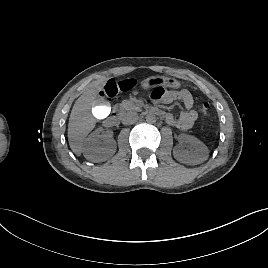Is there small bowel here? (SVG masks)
Here are the masks:
<instances>
[{"mask_svg": "<svg viewBox=\"0 0 268 268\" xmlns=\"http://www.w3.org/2000/svg\"><path fill=\"white\" fill-rule=\"evenodd\" d=\"M151 99L156 104H170L176 100L182 102L185 110L178 118L170 113L161 111L159 108H155L156 111L162 112V115L165 117L168 124L175 126L180 130H189L198 118V112L193 108L194 100L192 94L186 89L165 92L162 88H156L151 93Z\"/></svg>", "mask_w": 268, "mask_h": 268, "instance_id": "small-bowel-1", "label": "small bowel"}]
</instances>
